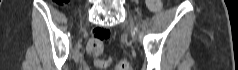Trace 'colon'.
<instances>
[{
  "mask_svg": "<svg viewBox=\"0 0 238 70\" xmlns=\"http://www.w3.org/2000/svg\"><path fill=\"white\" fill-rule=\"evenodd\" d=\"M148 7L152 11L159 10L161 6V2L159 0H148L147 2ZM110 37V31L103 28H98L94 31L93 39L90 41L88 45V50L91 53L99 54L102 51L103 42L109 39ZM109 62L106 59H98L96 61V65L99 68H106L108 66ZM116 70H128V63L126 61H120L115 65Z\"/></svg>",
  "mask_w": 238,
  "mask_h": 70,
  "instance_id": "5ec220e1",
  "label": "colon"
}]
</instances>
